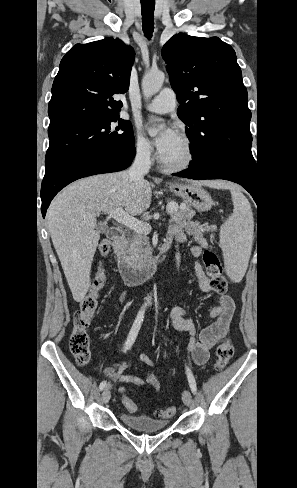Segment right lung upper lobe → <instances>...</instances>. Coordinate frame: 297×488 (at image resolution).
<instances>
[{"label":"right lung upper lobe","mask_w":297,"mask_h":488,"mask_svg":"<svg viewBox=\"0 0 297 488\" xmlns=\"http://www.w3.org/2000/svg\"><path fill=\"white\" fill-rule=\"evenodd\" d=\"M134 51L120 39L76 44L60 62L48 106V133L86 121L118 116L114 94L129 88Z\"/></svg>","instance_id":"cb5924a9"}]
</instances>
